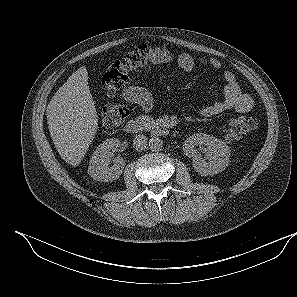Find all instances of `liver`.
Masks as SVG:
<instances>
[{
    "label": "liver",
    "mask_w": 297,
    "mask_h": 297,
    "mask_svg": "<svg viewBox=\"0 0 297 297\" xmlns=\"http://www.w3.org/2000/svg\"><path fill=\"white\" fill-rule=\"evenodd\" d=\"M46 114L48 129L60 157L69 165H79L98 129V115L85 66L58 89Z\"/></svg>",
    "instance_id": "1"
}]
</instances>
